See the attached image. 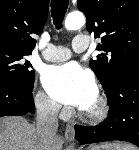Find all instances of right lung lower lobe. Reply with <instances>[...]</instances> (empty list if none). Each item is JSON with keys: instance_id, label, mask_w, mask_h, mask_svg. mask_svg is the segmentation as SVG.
Listing matches in <instances>:
<instances>
[{"instance_id": "obj_1", "label": "right lung lower lobe", "mask_w": 139, "mask_h": 150, "mask_svg": "<svg viewBox=\"0 0 139 150\" xmlns=\"http://www.w3.org/2000/svg\"><path fill=\"white\" fill-rule=\"evenodd\" d=\"M33 86L23 87L0 81V117L35 113Z\"/></svg>"}]
</instances>
